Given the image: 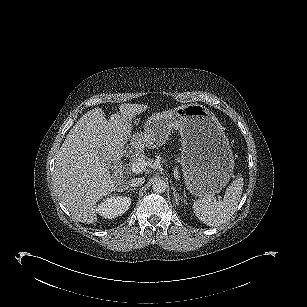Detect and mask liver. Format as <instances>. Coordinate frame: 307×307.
Instances as JSON below:
<instances>
[{
    "instance_id": "6515ba94",
    "label": "liver",
    "mask_w": 307,
    "mask_h": 307,
    "mask_svg": "<svg viewBox=\"0 0 307 307\" xmlns=\"http://www.w3.org/2000/svg\"><path fill=\"white\" fill-rule=\"evenodd\" d=\"M146 109V105L122 104L121 115L107 120L102 109L95 108L69 131L56 153L53 184L75 220L87 224L97 221L96 203L115 191L122 179L110 174L109 165L124 156L132 128L127 119ZM131 146L139 151L145 144L133 139Z\"/></svg>"
}]
</instances>
